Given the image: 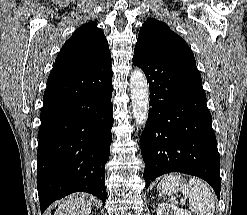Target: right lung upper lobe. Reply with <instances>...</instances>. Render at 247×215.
I'll return each instance as SVG.
<instances>
[{
    "instance_id": "cb5924a9",
    "label": "right lung upper lobe",
    "mask_w": 247,
    "mask_h": 215,
    "mask_svg": "<svg viewBox=\"0 0 247 215\" xmlns=\"http://www.w3.org/2000/svg\"><path fill=\"white\" fill-rule=\"evenodd\" d=\"M110 55L108 42L96 22L80 26L65 42L55 65L74 69L91 67Z\"/></svg>"
}]
</instances>
